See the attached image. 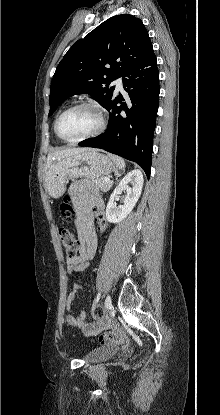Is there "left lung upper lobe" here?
Returning <instances> with one entry per match:
<instances>
[{"label": "left lung upper lobe", "instance_id": "left-lung-upper-lobe-1", "mask_svg": "<svg viewBox=\"0 0 220 415\" xmlns=\"http://www.w3.org/2000/svg\"><path fill=\"white\" fill-rule=\"evenodd\" d=\"M154 55L142 21L129 14L104 21L64 55L51 82L52 115L57 106L75 94L87 93L103 107L113 98L110 82Z\"/></svg>", "mask_w": 220, "mask_h": 415}]
</instances>
